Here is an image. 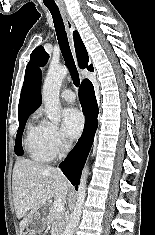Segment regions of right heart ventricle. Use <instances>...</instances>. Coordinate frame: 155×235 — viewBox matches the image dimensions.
<instances>
[{
  "label": "right heart ventricle",
  "mask_w": 155,
  "mask_h": 235,
  "mask_svg": "<svg viewBox=\"0 0 155 235\" xmlns=\"http://www.w3.org/2000/svg\"><path fill=\"white\" fill-rule=\"evenodd\" d=\"M25 147L29 156L34 161L49 162L54 156L43 140L40 124H29L25 139Z\"/></svg>",
  "instance_id": "right-heart-ventricle-1"
}]
</instances>
